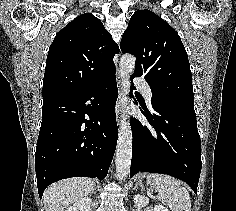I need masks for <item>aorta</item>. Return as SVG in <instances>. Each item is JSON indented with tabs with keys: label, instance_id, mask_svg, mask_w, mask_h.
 Wrapping results in <instances>:
<instances>
[{
	"label": "aorta",
	"instance_id": "1",
	"mask_svg": "<svg viewBox=\"0 0 236 211\" xmlns=\"http://www.w3.org/2000/svg\"><path fill=\"white\" fill-rule=\"evenodd\" d=\"M135 57L131 54H124L119 62V74L121 79L120 101L122 105L128 101L127 95L130 91V77L135 68ZM128 116L123 109L121 116L120 130L116 148V173L117 179L122 181L130 172L132 158V132Z\"/></svg>",
	"mask_w": 236,
	"mask_h": 211
}]
</instances>
